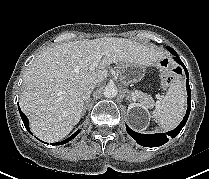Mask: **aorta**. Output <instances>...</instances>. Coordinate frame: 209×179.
Instances as JSON below:
<instances>
[{
  "mask_svg": "<svg viewBox=\"0 0 209 179\" xmlns=\"http://www.w3.org/2000/svg\"><path fill=\"white\" fill-rule=\"evenodd\" d=\"M103 94L106 98H113L117 96L118 89L114 84H108L104 88Z\"/></svg>",
  "mask_w": 209,
  "mask_h": 179,
  "instance_id": "aorta-1",
  "label": "aorta"
}]
</instances>
